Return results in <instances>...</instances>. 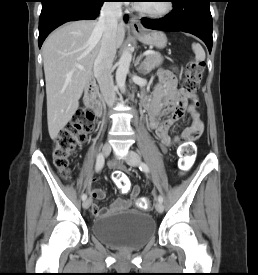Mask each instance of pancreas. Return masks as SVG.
<instances>
[{"mask_svg":"<svg viewBox=\"0 0 258 275\" xmlns=\"http://www.w3.org/2000/svg\"><path fill=\"white\" fill-rule=\"evenodd\" d=\"M162 60V57L158 53L147 55L140 65V71L143 73H148L156 67H159L162 63Z\"/></svg>","mask_w":258,"mask_h":275,"instance_id":"cf45deb5","label":"pancreas"}]
</instances>
